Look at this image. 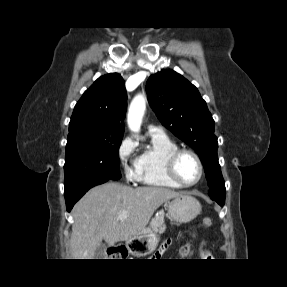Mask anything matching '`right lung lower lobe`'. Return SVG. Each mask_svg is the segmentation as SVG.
Here are the masks:
<instances>
[{"instance_id": "98d812e1", "label": "right lung lower lobe", "mask_w": 287, "mask_h": 287, "mask_svg": "<svg viewBox=\"0 0 287 287\" xmlns=\"http://www.w3.org/2000/svg\"><path fill=\"white\" fill-rule=\"evenodd\" d=\"M108 179H94L82 181L65 190V201L67 211H71L74 204L92 187L107 182Z\"/></svg>"}]
</instances>
